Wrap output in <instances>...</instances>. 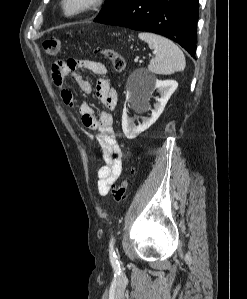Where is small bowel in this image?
I'll return each instance as SVG.
<instances>
[{"instance_id":"small-bowel-1","label":"small bowel","mask_w":247,"mask_h":299,"mask_svg":"<svg viewBox=\"0 0 247 299\" xmlns=\"http://www.w3.org/2000/svg\"><path fill=\"white\" fill-rule=\"evenodd\" d=\"M81 69L89 70L100 76L95 88V94L98 100L105 106V110L97 117L88 103H82L78 111L82 124L97 133L96 137L101 146L103 159V164L97 173V189L101 196H106L118 181L123 168L122 151L113 130L112 117V111L116 107L118 95L109 81L104 78L107 75V68L103 63L94 60L76 59L56 61L52 64L53 82L60 88V97L69 109L75 107V99L72 92L64 87V80L67 76L71 75L84 92L91 93L93 91L91 83L81 75ZM88 138L92 139V136L89 135Z\"/></svg>"}]
</instances>
